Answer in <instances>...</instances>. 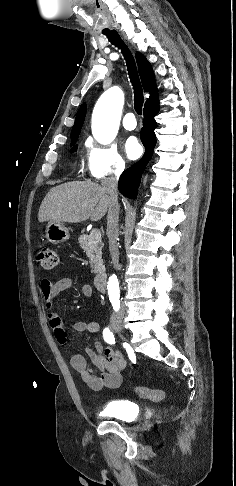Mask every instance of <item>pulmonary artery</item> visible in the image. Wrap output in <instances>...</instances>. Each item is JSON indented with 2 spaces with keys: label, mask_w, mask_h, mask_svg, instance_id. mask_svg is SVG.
Returning <instances> with one entry per match:
<instances>
[{
  "label": "pulmonary artery",
  "mask_w": 236,
  "mask_h": 486,
  "mask_svg": "<svg viewBox=\"0 0 236 486\" xmlns=\"http://www.w3.org/2000/svg\"><path fill=\"white\" fill-rule=\"evenodd\" d=\"M122 125L127 130H133L136 128L137 122L133 113L129 112L125 114L122 119Z\"/></svg>",
  "instance_id": "obj_1"
}]
</instances>
